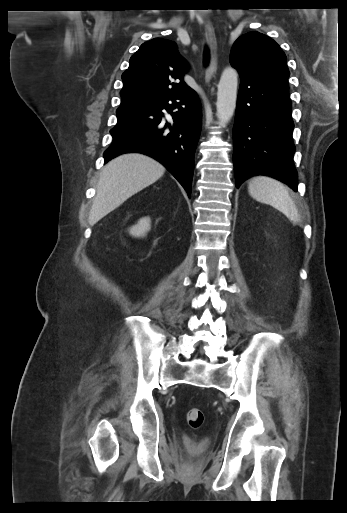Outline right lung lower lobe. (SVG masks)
<instances>
[{
  "mask_svg": "<svg viewBox=\"0 0 347 513\" xmlns=\"http://www.w3.org/2000/svg\"><path fill=\"white\" fill-rule=\"evenodd\" d=\"M163 109L171 114L170 120L165 118ZM201 117V105L192 89L150 105L117 112V124L110 131L113 141L104 153L105 162L122 153L146 154L162 163L190 198Z\"/></svg>",
  "mask_w": 347,
  "mask_h": 513,
  "instance_id": "right-lung-lower-lobe-1",
  "label": "right lung lower lobe"
}]
</instances>
